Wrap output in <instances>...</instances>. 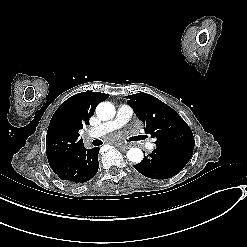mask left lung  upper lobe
Masks as SVG:
<instances>
[{
	"label": "left lung upper lobe",
	"mask_w": 247,
	"mask_h": 247,
	"mask_svg": "<svg viewBox=\"0 0 247 247\" xmlns=\"http://www.w3.org/2000/svg\"><path fill=\"white\" fill-rule=\"evenodd\" d=\"M126 98L137 117L145 124L146 134L156 138L157 148L191 158L195 143L193 133L177 112L147 93H137Z\"/></svg>",
	"instance_id": "obj_1"
}]
</instances>
